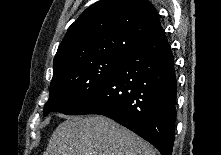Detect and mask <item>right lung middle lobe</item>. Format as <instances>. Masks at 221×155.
<instances>
[{"mask_svg":"<svg viewBox=\"0 0 221 155\" xmlns=\"http://www.w3.org/2000/svg\"><path fill=\"white\" fill-rule=\"evenodd\" d=\"M126 54H103L69 63L53 74L44 116L50 111L77 115L114 73Z\"/></svg>","mask_w":221,"mask_h":155,"instance_id":"obj_1","label":"right lung middle lobe"}]
</instances>
